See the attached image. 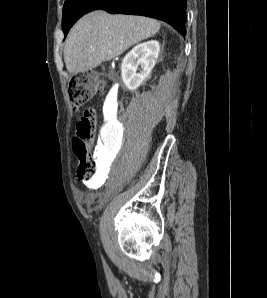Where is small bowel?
<instances>
[{
	"label": "small bowel",
	"mask_w": 267,
	"mask_h": 298,
	"mask_svg": "<svg viewBox=\"0 0 267 298\" xmlns=\"http://www.w3.org/2000/svg\"><path fill=\"white\" fill-rule=\"evenodd\" d=\"M105 146H107V143L105 141L102 142V147L104 148ZM78 199L81 203L91 206L93 204V202L96 199V195L94 193H82V192H78Z\"/></svg>",
	"instance_id": "small-bowel-1"
}]
</instances>
